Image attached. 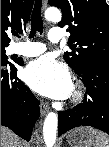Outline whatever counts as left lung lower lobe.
Wrapping results in <instances>:
<instances>
[{"mask_svg":"<svg viewBox=\"0 0 109 147\" xmlns=\"http://www.w3.org/2000/svg\"><path fill=\"white\" fill-rule=\"evenodd\" d=\"M80 77L88 96L73 109L58 113V136L79 126H92L109 134V61H90Z\"/></svg>","mask_w":109,"mask_h":147,"instance_id":"0a47b994","label":"left lung lower lobe"}]
</instances>
